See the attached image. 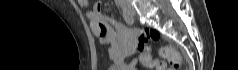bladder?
<instances>
[{
	"mask_svg": "<svg viewBox=\"0 0 238 70\" xmlns=\"http://www.w3.org/2000/svg\"><path fill=\"white\" fill-rule=\"evenodd\" d=\"M109 70H118V69L115 67H111V68H109Z\"/></svg>",
	"mask_w": 238,
	"mask_h": 70,
	"instance_id": "bladder-1",
	"label": "bladder"
}]
</instances>
